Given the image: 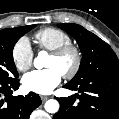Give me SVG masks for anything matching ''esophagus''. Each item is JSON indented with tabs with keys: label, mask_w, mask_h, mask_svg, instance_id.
Segmentation results:
<instances>
[{
	"label": "esophagus",
	"mask_w": 119,
	"mask_h": 119,
	"mask_svg": "<svg viewBox=\"0 0 119 119\" xmlns=\"http://www.w3.org/2000/svg\"><path fill=\"white\" fill-rule=\"evenodd\" d=\"M49 99V96H41V100L43 101V102H45L46 100H48Z\"/></svg>",
	"instance_id": "1"
}]
</instances>
